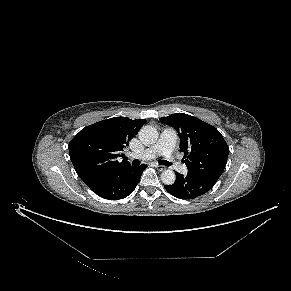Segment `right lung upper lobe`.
<instances>
[{"mask_svg": "<svg viewBox=\"0 0 291 291\" xmlns=\"http://www.w3.org/2000/svg\"><path fill=\"white\" fill-rule=\"evenodd\" d=\"M145 119L131 120L114 117L82 129L69 143V155L74 168L83 181L102 173L131 166L123 157L128 142L139 132Z\"/></svg>", "mask_w": 291, "mask_h": 291, "instance_id": "1", "label": "right lung upper lobe"}]
</instances>
